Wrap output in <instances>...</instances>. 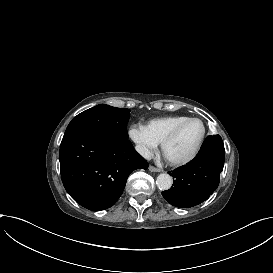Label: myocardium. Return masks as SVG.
<instances>
[{
  "label": "myocardium",
  "instance_id": "f54148a6",
  "mask_svg": "<svg viewBox=\"0 0 273 273\" xmlns=\"http://www.w3.org/2000/svg\"><path fill=\"white\" fill-rule=\"evenodd\" d=\"M194 120H198L202 123L203 125V134L199 140V142L197 143L196 147L194 148V150L185 158L183 159H179V160H170L165 156V148L166 146L175 138V136L177 135V133L180 131V129L187 123L194 121ZM208 133V124L206 123V121L200 117L197 116H190L187 119L179 122L178 124H176L167 134L166 136L162 139L161 141V150L164 154V156L166 157L168 163L171 166H175V167H180V166H185L189 163H191L196 156L198 155V153L200 152L204 141L206 139Z\"/></svg>",
  "mask_w": 273,
  "mask_h": 273
}]
</instances>
